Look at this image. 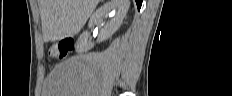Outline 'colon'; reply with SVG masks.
I'll return each instance as SVG.
<instances>
[{
    "mask_svg": "<svg viewBox=\"0 0 232 96\" xmlns=\"http://www.w3.org/2000/svg\"><path fill=\"white\" fill-rule=\"evenodd\" d=\"M75 41L71 38H65L54 43L49 48L50 57L58 60L65 59L67 55L74 49Z\"/></svg>",
    "mask_w": 232,
    "mask_h": 96,
    "instance_id": "obj_1",
    "label": "colon"
}]
</instances>
